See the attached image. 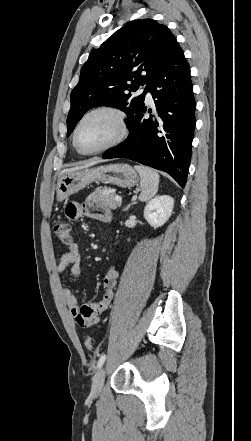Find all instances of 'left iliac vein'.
<instances>
[{
  "label": "left iliac vein",
  "instance_id": "1",
  "mask_svg": "<svg viewBox=\"0 0 251 441\" xmlns=\"http://www.w3.org/2000/svg\"><path fill=\"white\" fill-rule=\"evenodd\" d=\"M105 374H106L105 368L101 367L98 370V372L96 373V375L94 376L93 382H92V388H91V393L94 396L99 395L100 392L102 391L104 379H105Z\"/></svg>",
  "mask_w": 251,
  "mask_h": 441
}]
</instances>
